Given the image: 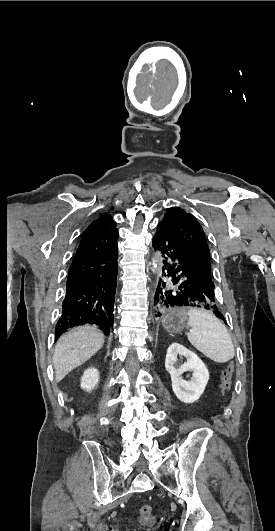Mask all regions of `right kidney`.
Returning a JSON list of instances; mask_svg holds the SVG:
<instances>
[{
  "instance_id": "obj_1",
  "label": "right kidney",
  "mask_w": 275,
  "mask_h": 531,
  "mask_svg": "<svg viewBox=\"0 0 275 531\" xmlns=\"http://www.w3.org/2000/svg\"><path fill=\"white\" fill-rule=\"evenodd\" d=\"M100 379V375L97 371V369H87L85 371L83 377H81V387L84 389V391H93L95 389L96 385H98Z\"/></svg>"
}]
</instances>
